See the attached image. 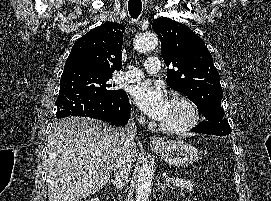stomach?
<instances>
[{
  "instance_id": "stomach-1",
  "label": "stomach",
  "mask_w": 271,
  "mask_h": 201,
  "mask_svg": "<svg viewBox=\"0 0 271 201\" xmlns=\"http://www.w3.org/2000/svg\"><path fill=\"white\" fill-rule=\"evenodd\" d=\"M155 153L168 164L185 167L196 162L200 156L198 150L183 140H174L163 143L161 146H152Z\"/></svg>"
}]
</instances>
